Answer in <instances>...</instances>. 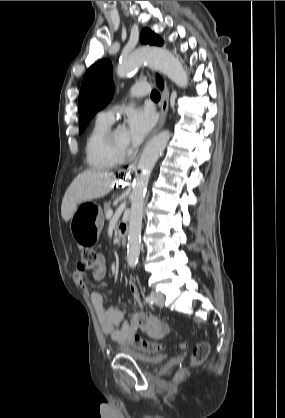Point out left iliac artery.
<instances>
[{
    "label": "left iliac artery",
    "instance_id": "left-iliac-artery-1",
    "mask_svg": "<svg viewBox=\"0 0 285 418\" xmlns=\"http://www.w3.org/2000/svg\"><path fill=\"white\" fill-rule=\"evenodd\" d=\"M145 301L148 304H153L154 303V299L151 296H146Z\"/></svg>",
    "mask_w": 285,
    "mask_h": 418
}]
</instances>
